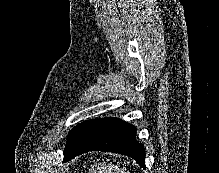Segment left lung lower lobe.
Here are the masks:
<instances>
[{
    "mask_svg": "<svg viewBox=\"0 0 219 173\" xmlns=\"http://www.w3.org/2000/svg\"><path fill=\"white\" fill-rule=\"evenodd\" d=\"M135 133L133 125L114 117L91 120L64 153V162L88 151H108L130 156L145 166L144 146L136 141Z\"/></svg>",
    "mask_w": 219,
    "mask_h": 173,
    "instance_id": "obj_1",
    "label": "left lung lower lobe"
}]
</instances>
